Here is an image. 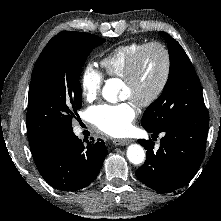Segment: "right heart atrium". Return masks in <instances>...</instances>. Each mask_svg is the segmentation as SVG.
Here are the masks:
<instances>
[{"mask_svg":"<svg viewBox=\"0 0 221 221\" xmlns=\"http://www.w3.org/2000/svg\"><path fill=\"white\" fill-rule=\"evenodd\" d=\"M104 76L92 64H86L80 78L82 97L87 102L94 101L100 94Z\"/></svg>","mask_w":221,"mask_h":221,"instance_id":"obj_1","label":"right heart atrium"}]
</instances>
